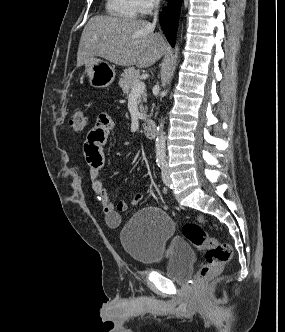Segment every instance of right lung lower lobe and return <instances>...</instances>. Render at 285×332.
I'll return each mask as SVG.
<instances>
[{"mask_svg": "<svg viewBox=\"0 0 285 332\" xmlns=\"http://www.w3.org/2000/svg\"><path fill=\"white\" fill-rule=\"evenodd\" d=\"M181 0H170L167 8L160 13V24L169 43L174 46L178 28Z\"/></svg>", "mask_w": 285, "mask_h": 332, "instance_id": "1", "label": "right lung lower lobe"}]
</instances>
